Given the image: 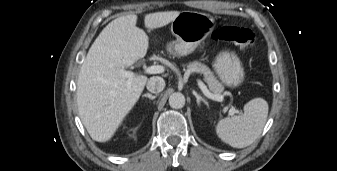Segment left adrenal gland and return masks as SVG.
<instances>
[{
  "label": "left adrenal gland",
  "instance_id": "1",
  "mask_svg": "<svg viewBox=\"0 0 337 171\" xmlns=\"http://www.w3.org/2000/svg\"><path fill=\"white\" fill-rule=\"evenodd\" d=\"M193 94H194V96H195L196 99H197V105H198V106L200 105L201 102H203V103H204L205 105H207V107H208V102H207L203 97H201L199 94H197L196 91H193Z\"/></svg>",
  "mask_w": 337,
  "mask_h": 171
}]
</instances>
